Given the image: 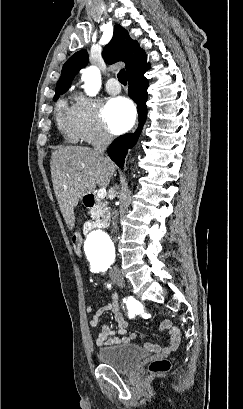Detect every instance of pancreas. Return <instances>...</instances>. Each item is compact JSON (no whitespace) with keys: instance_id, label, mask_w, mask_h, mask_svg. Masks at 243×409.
I'll return each instance as SVG.
<instances>
[{"instance_id":"obj_1","label":"pancreas","mask_w":243,"mask_h":409,"mask_svg":"<svg viewBox=\"0 0 243 409\" xmlns=\"http://www.w3.org/2000/svg\"><path fill=\"white\" fill-rule=\"evenodd\" d=\"M91 218L98 223H106L108 221V211L104 205L99 204L91 210Z\"/></svg>"}]
</instances>
